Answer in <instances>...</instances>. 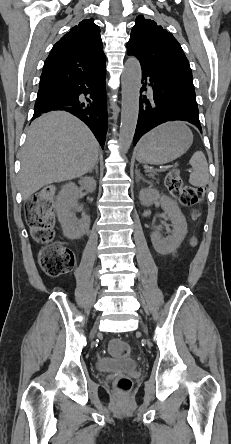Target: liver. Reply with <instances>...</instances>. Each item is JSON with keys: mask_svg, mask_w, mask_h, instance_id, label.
<instances>
[{"mask_svg": "<svg viewBox=\"0 0 231 444\" xmlns=\"http://www.w3.org/2000/svg\"><path fill=\"white\" fill-rule=\"evenodd\" d=\"M99 143L90 129L65 111L37 118L27 131L18 175L23 200L45 185L80 177L94 168Z\"/></svg>", "mask_w": 231, "mask_h": 444, "instance_id": "1", "label": "liver"}]
</instances>
